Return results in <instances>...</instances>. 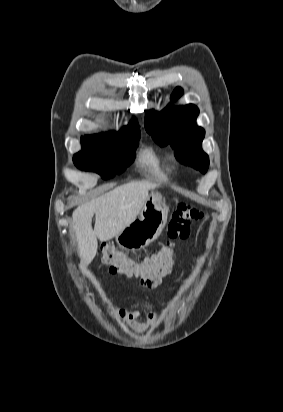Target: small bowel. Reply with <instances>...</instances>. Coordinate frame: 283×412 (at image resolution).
Listing matches in <instances>:
<instances>
[{
    "instance_id": "1",
    "label": "small bowel",
    "mask_w": 283,
    "mask_h": 412,
    "mask_svg": "<svg viewBox=\"0 0 283 412\" xmlns=\"http://www.w3.org/2000/svg\"><path fill=\"white\" fill-rule=\"evenodd\" d=\"M174 265V261L171 262V268ZM158 282H148L141 280V284L145 287L152 288L156 286ZM104 307L108 306V301H103ZM154 304L150 301H143L141 302L135 309L133 310H125L119 309L112 313V317L114 319L121 320L124 322L128 327L131 329H137L138 326V319L144 316L146 318L147 324L142 327L143 329H154L158 325V316L154 312Z\"/></svg>"
}]
</instances>
